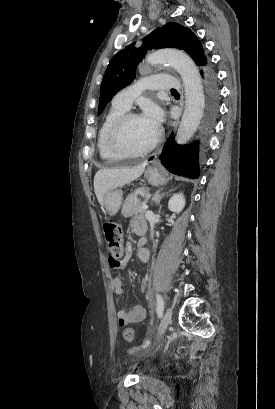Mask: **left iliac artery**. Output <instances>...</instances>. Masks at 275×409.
I'll use <instances>...</instances> for the list:
<instances>
[{"mask_svg":"<svg viewBox=\"0 0 275 409\" xmlns=\"http://www.w3.org/2000/svg\"><path fill=\"white\" fill-rule=\"evenodd\" d=\"M156 310H157V314L158 317L161 318L163 315V311H164V301L163 298L161 297V295L156 294ZM150 341L146 340L145 343L142 345V348H146L149 345Z\"/></svg>","mask_w":275,"mask_h":409,"instance_id":"44dca946","label":"left iliac artery"}]
</instances>
